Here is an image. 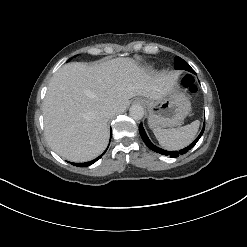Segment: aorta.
Listing matches in <instances>:
<instances>
[{"mask_svg": "<svg viewBox=\"0 0 247 247\" xmlns=\"http://www.w3.org/2000/svg\"><path fill=\"white\" fill-rule=\"evenodd\" d=\"M130 116L135 120H140L144 116V109L140 105H133L129 110Z\"/></svg>", "mask_w": 247, "mask_h": 247, "instance_id": "obj_1", "label": "aorta"}]
</instances>
